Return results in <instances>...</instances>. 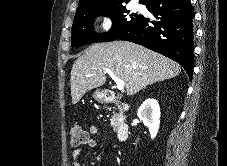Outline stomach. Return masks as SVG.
<instances>
[{"label": "stomach", "mask_w": 227, "mask_h": 166, "mask_svg": "<svg viewBox=\"0 0 227 166\" xmlns=\"http://www.w3.org/2000/svg\"><path fill=\"white\" fill-rule=\"evenodd\" d=\"M92 96L96 101L102 102V101H104L105 93H104V91L98 89V90L94 91Z\"/></svg>", "instance_id": "1"}]
</instances>
